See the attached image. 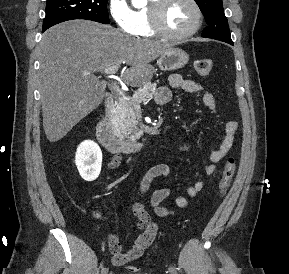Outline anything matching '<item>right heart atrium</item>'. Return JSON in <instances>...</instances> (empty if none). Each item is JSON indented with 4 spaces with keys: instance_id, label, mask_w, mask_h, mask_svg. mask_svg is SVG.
Instances as JSON below:
<instances>
[{
    "instance_id": "d8ad5b80",
    "label": "right heart atrium",
    "mask_w": 289,
    "mask_h": 274,
    "mask_svg": "<svg viewBox=\"0 0 289 274\" xmlns=\"http://www.w3.org/2000/svg\"><path fill=\"white\" fill-rule=\"evenodd\" d=\"M109 13L123 32L133 34L135 29L134 11L126 0H109Z\"/></svg>"
}]
</instances>
